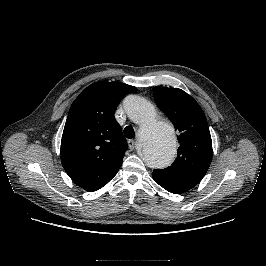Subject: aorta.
Listing matches in <instances>:
<instances>
[{"instance_id":"aorta-1","label":"aorta","mask_w":266,"mask_h":266,"mask_svg":"<svg viewBox=\"0 0 266 266\" xmlns=\"http://www.w3.org/2000/svg\"><path fill=\"white\" fill-rule=\"evenodd\" d=\"M124 107L128 117L140 126V151L146 164L155 169L170 165L176 154L172 125L157 121L154 106L140 96H129Z\"/></svg>"}]
</instances>
